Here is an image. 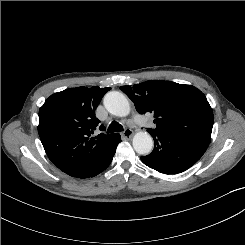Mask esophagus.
<instances>
[{"label": "esophagus", "mask_w": 245, "mask_h": 245, "mask_svg": "<svg viewBox=\"0 0 245 245\" xmlns=\"http://www.w3.org/2000/svg\"><path fill=\"white\" fill-rule=\"evenodd\" d=\"M123 137L131 138L133 136V131L131 129H126L122 133Z\"/></svg>", "instance_id": "34e87169"}]
</instances>
